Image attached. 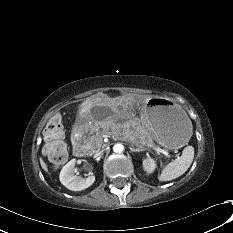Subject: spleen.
<instances>
[{
    "label": "spleen",
    "mask_w": 233,
    "mask_h": 233,
    "mask_svg": "<svg viewBox=\"0 0 233 233\" xmlns=\"http://www.w3.org/2000/svg\"><path fill=\"white\" fill-rule=\"evenodd\" d=\"M193 158L194 148L192 146L185 147L181 157L170 162L163 168L159 176V181H170L183 175L193 162Z\"/></svg>",
    "instance_id": "spleen-1"
}]
</instances>
